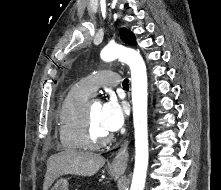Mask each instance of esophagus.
<instances>
[{
    "label": "esophagus",
    "mask_w": 221,
    "mask_h": 190,
    "mask_svg": "<svg viewBox=\"0 0 221 190\" xmlns=\"http://www.w3.org/2000/svg\"><path fill=\"white\" fill-rule=\"evenodd\" d=\"M129 159L128 154V141L126 140L120 149L117 151L116 155L114 156L112 162H111V168L118 172L125 171L127 167Z\"/></svg>",
    "instance_id": "34e87169"
}]
</instances>
